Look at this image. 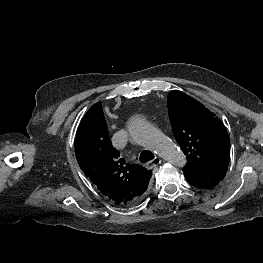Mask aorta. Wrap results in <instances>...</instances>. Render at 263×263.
Here are the masks:
<instances>
[{
  "mask_svg": "<svg viewBox=\"0 0 263 263\" xmlns=\"http://www.w3.org/2000/svg\"><path fill=\"white\" fill-rule=\"evenodd\" d=\"M128 131L136 142L147 146L169 163L179 167L186 163L183 152L148 122L132 118L128 123Z\"/></svg>",
  "mask_w": 263,
  "mask_h": 263,
  "instance_id": "762f6f07",
  "label": "aorta"
}]
</instances>
